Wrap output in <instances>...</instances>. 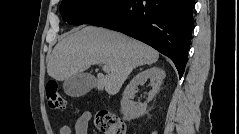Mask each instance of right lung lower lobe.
<instances>
[{"label":"right lung lower lobe","instance_id":"98d812e1","mask_svg":"<svg viewBox=\"0 0 239 134\" xmlns=\"http://www.w3.org/2000/svg\"><path fill=\"white\" fill-rule=\"evenodd\" d=\"M195 0H118L85 24L138 39L175 63L180 78L192 38Z\"/></svg>","mask_w":239,"mask_h":134}]
</instances>
